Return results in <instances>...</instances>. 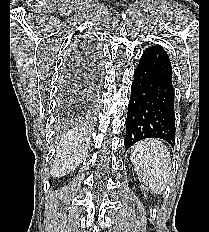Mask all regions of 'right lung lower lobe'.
I'll return each instance as SVG.
<instances>
[{"mask_svg": "<svg viewBox=\"0 0 209 232\" xmlns=\"http://www.w3.org/2000/svg\"><path fill=\"white\" fill-rule=\"evenodd\" d=\"M97 60V51L94 48L85 46L78 47L72 54L71 61L78 66L79 69L84 68L83 76L85 79L92 78ZM89 77V78H88Z\"/></svg>", "mask_w": 209, "mask_h": 232, "instance_id": "right-lung-lower-lobe-1", "label": "right lung lower lobe"}]
</instances>
